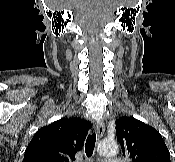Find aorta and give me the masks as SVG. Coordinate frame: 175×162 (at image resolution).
Wrapping results in <instances>:
<instances>
[{
    "label": "aorta",
    "mask_w": 175,
    "mask_h": 162,
    "mask_svg": "<svg viewBox=\"0 0 175 162\" xmlns=\"http://www.w3.org/2000/svg\"><path fill=\"white\" fill-rule=\"evenodd\" d=\"M97 150L103 156H111L118 153L119 147L115 140H103L98 144Z\"/></svg>",
    "instance_id": "1"
}]
</instances>
